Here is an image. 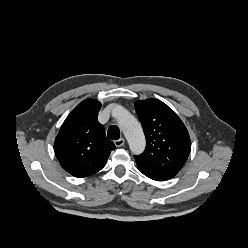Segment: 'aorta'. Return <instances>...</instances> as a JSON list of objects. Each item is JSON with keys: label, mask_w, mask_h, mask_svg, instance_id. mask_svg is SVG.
<instances>
[{"label": "aorta", "mask_w": 248, "mask_h": 248, "mask_svg": "<svg viewBox=\"0 0 248 248\" xmlns=\"http://www.w3.org/2000/svg\"><path fill=\"white\" fill-rule=\"evenodd\" d=\"M112 115L118 120L133 154H141L146 145L145 136L139 121L124 107L117 106Z\"/></svg>", "instance_id": "762f6f07"}]
</instances>
